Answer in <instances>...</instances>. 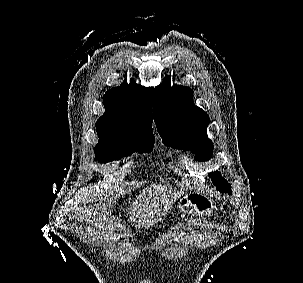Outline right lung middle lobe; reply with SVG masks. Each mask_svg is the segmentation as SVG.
<instances>
[{"mask_svg":"<svg viewBox=\"0 0 303 283\" xmlns=\"http://www.w3.org/2000/svg\"><path fill=\"white\" fill-rule=\"evenodd\" d=\"M99 142L95 155L99 162L107 163L130 155L134 151L151 152L154 144L151 126H138L124 131L97 132Z\"/></svg>","mask_w":303,"mask_h":283,"instance_id":"obj_1","label":"right lung middle lobe"}]
</instances>
